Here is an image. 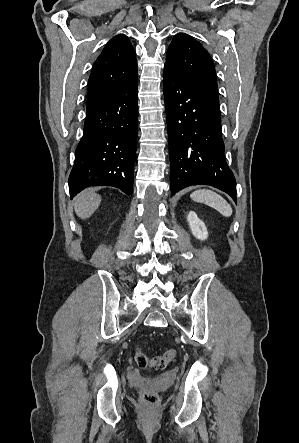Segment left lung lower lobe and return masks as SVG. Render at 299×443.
I'll use <instances>...</instances> for the list:
<instances>
[{"mask_svg":"<svg viewBox=\"0 0 299 443\" xmlns=\"http://www.w3.org/2000/svg\"><path fill=\"white\" fill-rule=\"evenodd\" d=\"M164 98L173 194L190 185L216 187L236 201L224 156L219 100L164 67Z\"/></svg>","mask_w":299,"mask_h":443,"instance_id":"obj_1","label":"left lung lower lobe"}]
</instances>
